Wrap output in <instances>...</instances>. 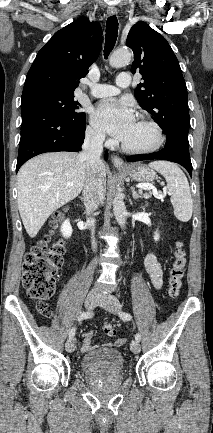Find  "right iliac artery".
Masks as SVG:
<instances>
[{
  "label": "right iliac artery",
  "instance_id": "right-iliac-artery-1",
  "mask_svg": "<svg viewBox=\"0 0 213 433\" xmlns=\"http://www.w3.org/2000/svg\"><path fill=\"white\" fill-rule=\"evenodd\" d=\"M92 316H93V312H90V311H88V312H83V313H81V314L78 316L77 320H78V321H82V320H84V319L91 318ZM74 335H75V327H73V328L70 330V332H69V338H73Z\"/></svg>",
  "mask_w": 213,
  "mask_h": 433
}]
</instances>
